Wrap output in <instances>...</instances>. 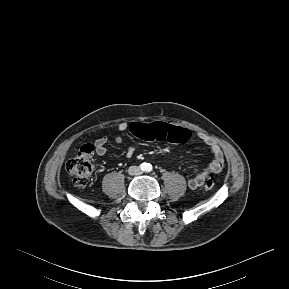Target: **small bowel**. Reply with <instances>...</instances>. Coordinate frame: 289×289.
<instances>
[{"mask_svg":"<svg viewBox=\"0 0 289 289\" xmlns=\"http://www.w3.org/2000/svg\"><path fill=\"white\" fill-rule=\"evenodd\" d=\"M131 125L132 124L129 125L126 122H121L118 125V130H119V132H125L126 130L130 129ZM199 137L209 147L213 158H212L210 164L202 172L196 174L195 176L191 177L188 180V185L191 189H196V188L201 187L204 184L206 178L210 174L219 173L224 168V157H223V153H222L220 147L218 146V144L215 143L212 139H210L204 135H199ZM115 142L117 144L122 142L121 135H118L115 137ZM106 143H107L106 137H101L95 141V143H94L95 151L98 155L102 156V155L106 154V152H107ZM133 154H134V148L129 147L126 150V156L131 157Z\"/></svg>","mask_w":289,"mask_h":289,"instance_id":"1","label":"small bowel"}]
</instances>
